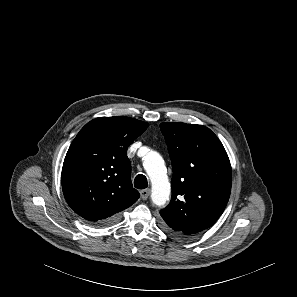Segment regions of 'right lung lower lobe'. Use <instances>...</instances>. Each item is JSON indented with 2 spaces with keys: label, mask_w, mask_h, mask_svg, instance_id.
Segmentation results:
<instances>
[{
  "label": "right lung lower lobe",
  "mask_w": 297,
  "mask_h": 297,
  "mask_svg": "<svg viewBox=\"0 0 297 297\" xmlns=\"http://www.w3.org/2000/svg\"><path fill=\"white\" fill-rule=\"evenodd\" d=\"M116 220H117V215L114 217H111L110 219L100 221V222L96 223V225L101 226V227L108 226V225L113 224Z\"/></svg>",
  "instance_id": "98d812e1"
}]
</instances>
